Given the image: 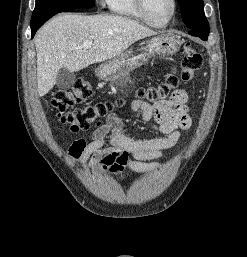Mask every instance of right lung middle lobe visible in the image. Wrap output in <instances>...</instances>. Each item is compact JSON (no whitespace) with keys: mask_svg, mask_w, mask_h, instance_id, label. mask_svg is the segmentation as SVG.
<instances>
[{"mask_svg":"<svg viewBox=\"0 0 247 257\" xmlns=\"http://www.w3.org/2000/svg\"><path fill=\"white\" fill-rule=\"evenodd\" d=\"M94 6V0H36L31 22L50 14Z\"/></svg>","mask_w":247,"mask_h":257,"instance_id":"right-lung-middle-lobe-1","label":"right lung middle lobe"}]
</instances>
